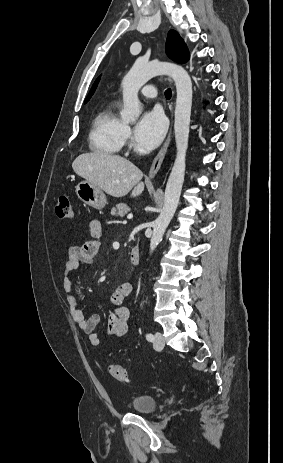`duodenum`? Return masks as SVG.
I'll return each instance as SVG.
<instances>
[{"label": "duodenum", "mask_w": 283, "mask_h": 463, "mask_svg": "<svg viewBox=\"0 0 283 463\" xmlns=\"http://www.w3.org/2000/svg\"><path fill=\"white\" fill-rule=\"evenodd\" d=\"M140 261V250L137 246L133 247L130 253V263L132 266H136Z\"/></svg>", "instance_id": "410a0bca"}]
</instances>
